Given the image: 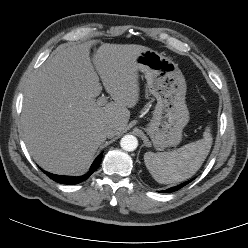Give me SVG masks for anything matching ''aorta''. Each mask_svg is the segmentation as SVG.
Listing matches in <instances>:
<instances>
[{
    "mask_svg": "<svg viewBox=\"0 0 248 248\" xmlns=\"http://www.w3.org/2000/svg\"><path fill=\"white\" fill-rule=\"evenodd\" d=\"M120 146L125 151H134L138 146V140L133 135H125L120 141Z\"/></svg>",
    "mask_w": 248,
    "mask_h": 248,
    "instance_id": "762f6f07",
    "label": "aorta"
}]
</instances>
